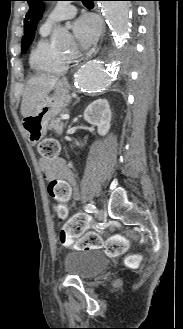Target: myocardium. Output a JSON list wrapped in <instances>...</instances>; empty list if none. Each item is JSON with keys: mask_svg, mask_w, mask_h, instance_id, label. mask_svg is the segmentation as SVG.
<instances>
[{"mask_svg": "<svg viewBox=\"0 0 183 329\" xmlns=\"http://www.w3.org/2000/svg\"><path fill=\"white\" fill-rule=\"evenodd\" d=\"M77 60V54H73V55H66L63 53L62 55V61L63 64L65 65L66 69H68V67L73 64L75 61Z\"/></svg>", "mask_w": 183, "mask_h": 329, "instance_id": "obj_1", "label": "myocardium"}]
</instances>
